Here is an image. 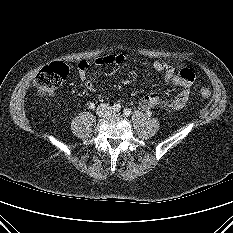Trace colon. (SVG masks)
<instances>
[{
    "mask_svg": "<svg viewBox=\"0 0 233 233\" xmlns=\"http://www.w3.org/2000/svg\"><path fill=\"white\" fill-rule=\"evenodd\" d=\"M69 73V68L61 62L52 63L43 67L35 78V86L38 93L44 97H51L57 88L65 81ZM192 77L191 74H186ZM200 95L203 99H209L211 92L208 88H202Z\"/></svg>",
    "mask_w": 233,
    "mask_h": 233,
    "instance_id": "obj_1",
    "label": "colon"
}]
</instances>
